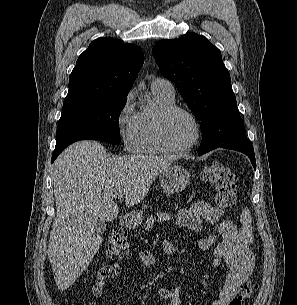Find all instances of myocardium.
I'll return each instance as SVG.
<instances>
[{
    "label": "myocardium",
    "instance_id": "f54148a6",
    "mask_svg": "<svg viewBox=\"0 0 297 305\" xmlns=\"http://www.w3.org/2000/svg\"><path fill=\"white\" fill-rule=\"evenodd\" d=\"M176 113H183L186 116H188L191 119V121L193 122V125L195 128V135H194V138L192 139V141L189 144H187L186 146L179 147V148L170 146L168 144V142L166 141L165 135H164L165 122L167 121V119L169 117H171L172 115H174ZM201 133H202V130H201V125H200L199 119L191 110H189L185 107L178 106V105H171V106L160 109L155 115L154 124H153L154 141H155L157 147L162 152H165L167 154L180 155V154L189 152L199 142V140L201 138Z\"/></svg>",
    "mask_w": 297,
    "mask_h": 305
}]
</instances>
